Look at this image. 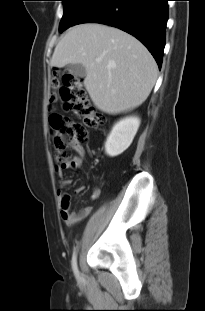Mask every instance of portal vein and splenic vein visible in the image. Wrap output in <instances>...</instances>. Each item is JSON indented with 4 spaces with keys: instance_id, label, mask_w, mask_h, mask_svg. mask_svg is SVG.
Masks as SVG:
<instances>
[{
    "instance_id": "portal-vein-and-splenic-vein-1",
    "label": "portal vein and splenic vein",
    "mask_w": 205,
    "mask_h": 311,
    "mask_svg": "<svg viewBox=\"0 0 205 311\" xmlns=\"http://www.w3.org/2000/svg\"><path fill=\"white\" fill-rule=\"evenodd\" d=\"M101 60L100 59H96V62H100Z\"/></svg>"
}]
</instances>
